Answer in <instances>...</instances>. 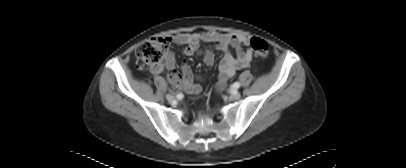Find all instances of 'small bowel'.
<instances>
[{"mask_svg": "<svg viewBox=\"0 0 406 168\" xmlns=\"http://www.w3.org/2000/svg\"><path fill=\"white\" fill-rule=\"evenodd\" d=\"M169 39L175 45L185 46L184 54L187 56L200 54L202 43H213L217 50L224 53L219 65L218 81L215 87L218 93L226 87L228 80L235 75L236 71L249 67L253 59L252 51L244 50L242 47L249 42L247 35L196 32L176 34ZM230 48L235 51V56L230 53ZM203 59L207 66H212L215 61L214 53L210 49H206L203 53ZM150 71L153 74L166 71L170 82L177 89L185 90L189 94H199L202 91L201 86L193 82L194 75L187 62L183 63L181 73L177 72L173 54L167 56L165 64L151 65Z\"/></svg>", "mask_w": 406, "mask_h": 168, "instance_id": "obj_1", "label": "small bowel"}]
</instances>
